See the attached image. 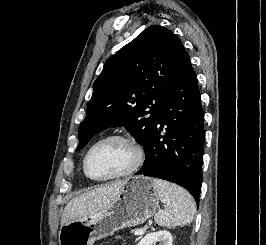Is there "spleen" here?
I'll return each instance as SVG.
<instances>
[{"label": "spleen", "instance_id": "1", "mask_svg": "<svg viewBox=\"0 0 266 245\" xmlns=\"http://www.w3.org/2000/svg\"><path fill=\"white\" fill-rule=\"evenodd\" d=\"M152 185L163 203V211L156 213L155 223L159 227H184L194 219L195 201L188 191L174 183L153 179Z\"/></svg>", "mask_w": 266, "mask_h": 245}]
</instances>
